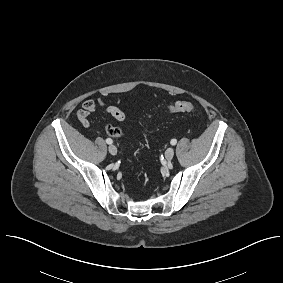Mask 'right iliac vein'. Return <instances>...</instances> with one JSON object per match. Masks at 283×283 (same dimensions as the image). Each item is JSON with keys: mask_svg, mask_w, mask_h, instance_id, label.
I'll list each match as a JSON object with an SVG mask.
<instances>
[{"mask_svg": "<svg viewBox=\"0 0 283 283\" xmlns=\"http://www.w3.org/2000/svg\"><path fill=\"white\" fill-rule=\"evenodd\" d=\"M108 150H109L110 154H112V155H116L117 154V148L114 145H110L108 147Z\"/></svg>", "mask_w": 283, "mask_h": 283, "instance_id": "1", "label": "right iliac vein"}]
</instances>
